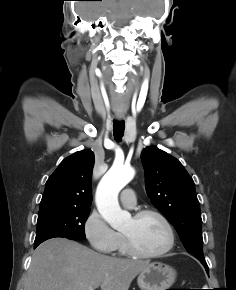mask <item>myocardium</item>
Instances as JSON below:
<instances>
[{"mask_svg": "<svg viewBox=\"0 0 236 290\" xmlns=\"http://www.w3.org/2000/svg\"><path fill=\"white\" fill-rule=\"evenodd\" d=\"M148 215L157 217L163 223L168 234V242L166 246L160 251H157L154 253H145L136 248V246L133 244L132 240L130 239L128 235L122 233V238H123L127 253L133 257L140 258V259L160 258L166 255L167 253H169L175 245V232H174L173 226L168 220V218L159 210H156L153 208L141 209L134 213L133 218L138 220Z\"/></svg>", "mask_w": 236, "mask_h": 290, "instance_id": "f54148a6", "label": "myocardium"}]
</instances>
